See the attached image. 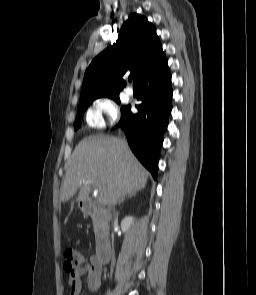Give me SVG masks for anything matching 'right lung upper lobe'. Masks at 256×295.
I'll return each mask as SVG.
<instances>
[{
    "instance_id": "right-lung-upper-lobe-1",
    "label": "right lung upper lobe",
    "mask_w": 256,
    "mask_h": 295,
    "mask_svg": "<svg viewBox=\"0 0 256 295\" xmlns=\"http://www.w3.org/2000/svg\"><path fill=\"white\" fill-rule=\"evenodd\" d=\"M166 59L155 27L147 18L131 14L119 32L117 43L101 52L87 68L81 98L119 95L125 86V72L135 76L134 82Z\"/></svg>"
}]
</instances>
